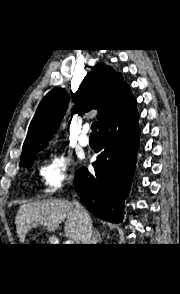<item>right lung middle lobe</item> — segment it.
I'll return each mask as SVG.
<instances>
[{"label":"right lung middle lobe","mask_w":180,"mask_h":294,"mask_svg":"<svg viewBox=\"0 0 180 294\" xmlns=\"http://www.w3.org/2000/svg\"><path fill=\"white\" fill-rule=\"evenodd\" d=\"M35 155H33L32 157L28 158L27 160L21 161V163H20L21 167L29 168L33 164V162H34Z\"/></svg>","instance_id":"1"}]
</instances>
